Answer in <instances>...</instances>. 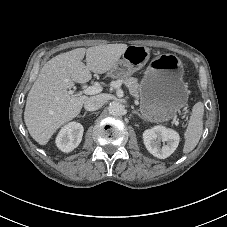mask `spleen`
Masks as SVG:
<instances>
[{
    "label": "spleen",
    "instance_id": "obj_1",
    "mask_svg": "<svg viewBox=\"0 0 227 227\" xmlns=\"http://www.w3.org/2000/svg\"><path fill=\"white\" fill-rule=\"evenodd\" d=\"M203 114L204 105L202 102H198L193 106L192 114L188 121V126L185 131V144L183 153L187 154L191 152L198 144L201 135L203 133Z\"/></svg>",
    "mask_w": 227,
    "mask_h": 227
}]
</instances>
